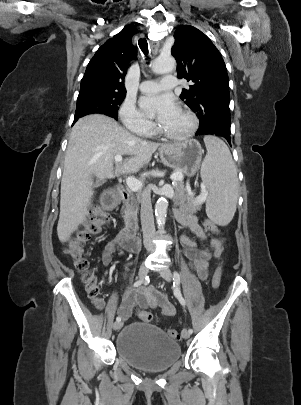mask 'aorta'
I'll use <instances>...</instances> for the list:
<instances>
[{"instance_id": "762f6f07", "label": "aorta", "mask_w": 301, "mask_h": 405, "mask_svg": "<svg viewBox=\"0 0 301 405\" xmlns=\"http://www.w3.org/2000/svg\"><path fill=\"white\" fill-rule=\"evenodd\" d=\"M175 68V60L172 57H160L156 59L152 65V71L154 73H170ZM168 208V200L166 197L161 196L155 204V216L158 224V228L161 229L166 221Z\"/></svg>"}]
</instances>
